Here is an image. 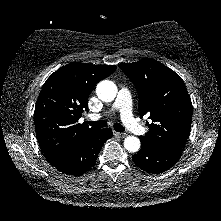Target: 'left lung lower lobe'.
I'll return each instance as SVG.
<instances>
[{"instance_id":"obj_1","label":"left lung lower lobe","mask_w":221,"mask_h":221,"mask_svg":"<svg viewBox=\"0 0 221 221\" xmlns=\"http://www.w3.org/2000/svg\"><path fill=\"white\" fill-rule=\"evenodd\" d=\"M142 143L140 151L132 156L134 163L142 170L158 174L171 168L181 157V151L164 149L148 144L139 137Z\"/></svg>"}]
</instances>
